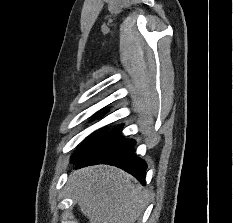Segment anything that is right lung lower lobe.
<instances>
[{"instance_id": "obj_1", "label": "right lung lower lobe", "mask_w": 233, "mask_h": 223, "mask_svg": "<svg viewBox=\"0 0 233 223\" xmlns=\"http://www.w3.org/2000/svg\"><path fill=\"white\" fill-rule=\"evenodd\" d=\"M122 127L123 125L115 127L106 133L89 151L81 156H72V160L76 164V168L95 164L117 166L135 176L144 185L147 165L133 154L135 141L119 136Z\"/></svg>"}]
</instances>
